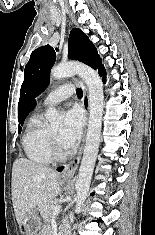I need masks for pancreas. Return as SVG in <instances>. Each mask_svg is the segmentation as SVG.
Wrapping results in <instances>:
<instances>
[{"instance_id":"pancreas-1","label":"pancreas","mask_w":155,"mask_h":235,"mask_svg":"<svg viewBox=\"0 0 155 235\" xmlns=\"http://www.w3.org/2000/svg\"><path fill=\"white\" fill-rule=\"evenodd\" d=\"M59 200L58 199H55V200H52L50 202V204H45L42 206V214H43V217L45 218V220L49 221L51 216H52V212H53V208L57 205H59Z\"/></svg>"}]
</instances>
